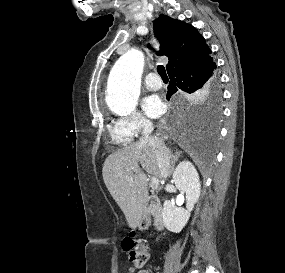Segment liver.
Returning <instances> with one entry per match:
<instances>
[{"label": "liver", "mask_w": 285, "mask_h": 273, "mask_svg": "<svg viewBox=\"0 0 285 273\" xmlns=\"http://www.w3.org/2000/svg\"><path fill=\"white\" fill-rule=\"evenodd\" d=\"M140 166L161 178L156 147L148 142L138 141L110 154L102 169L104 183L131 228L137 226L148 197L147 176Z\"/></svg>", "instance_id": "6515ba94"}]
</instances>
